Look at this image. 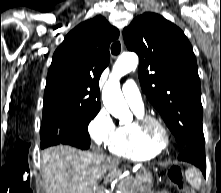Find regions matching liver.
Here are the masks:
<instances>
[{"label": "liver", "mask_w": 221, "mask_h": 193, "mask_svg": "<svg viewBox=\"0 0 221 193\" xmlns=\"http://www.w3.org/2000/svg\"><path fill=\"white\" fill-rule=\"evenodd\" d=\"M41 167L46 193H94L107 171L116 173L118 161L101 150L58 145L41 153Z\"/></svg>", "instance_id": "1"}]
</instances>
